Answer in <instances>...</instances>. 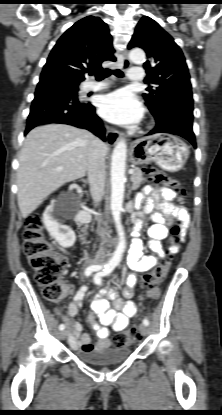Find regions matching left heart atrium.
Here are the masks:
<instances>
[{
    "label": "left heart atrium",
    "mask_w": 222,
    "mask_h": 415,
    "mask_svg": "<svg viewBox=\"0 0 222 415\" xmlns=\"http://www.w3.org/2000/svg\"><path fill=\"white\" fill-rule=\"evenodd\" d=\"M99 110L103 118L120 125L135 124L142 116L141 103L127 89H120L103 96Z\"/></svg>",
    "instance_id": "39dd6f15"
}]
</instances>
